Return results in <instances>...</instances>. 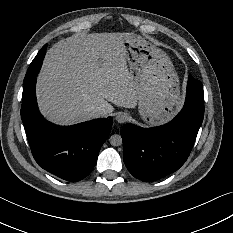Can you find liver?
Listing matches in <instances>:
<instances>
[{"label":"liver","instance_id":"liver-1","mask_svg":"<svg viewBox=\"0 0 233 233\" xmlns=\"http://www.w3.org/2000/svg\"><path fill=\"white\" fill-rule=\"evenodd\" d=\"M131 33H77L55 43L37 77L41 113L59 124L92 119L94 107L107 114L135 108L136 85L127 69L123 41ZM106 114V115H107Z\"/></svg>","mask_w":233,"mask_h":233}]
</instances>
